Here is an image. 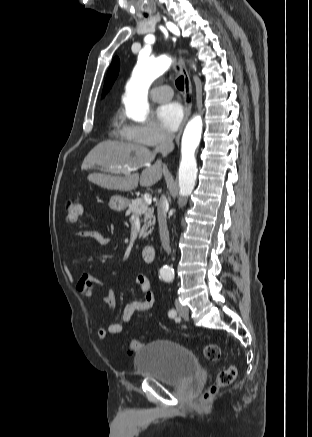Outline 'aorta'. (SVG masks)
<instances>
[{
    "label": "aorta",
    "mask_w": 312,
    "mask_h": 437,
    "mask_svg": "<svg viewBox=\"0 0 312 437\" xmlns=\"http://www.w3.org/2000/svg\"><path fill=\"white\" fill-rule=\"evenodd\" d=\"M168 56L158 58H139L133 70L131 80L127 84L124 99L126 115L136 122H144L147 117L149 104L148 90L152 82L162 75L171 65ZM202 133V119L195 116L187 124L181 141V162L179 166V195L188 197L195 186L197 178V163L195 151L200 143ZM163 272L170 273L171 268L164 266Z\"/></svg>",
    "instance_id": "aorta-1"
}]
</instances>
